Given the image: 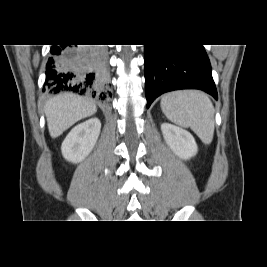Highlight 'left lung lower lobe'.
Segmentation results:
<instances>
[{
  "instance_id": "left-lung-lower-lobe-1",
  "label": "left lung lower lobe",
  "mask_w": 267,
  "mask_h": 267,
  "mask_svg": "<svg viewBox=\"0 0 267 267\" xmlns=\"http://www.w3.org/2000/svg\"><path fill=\"white\" fill-rule=\"evenodd\" d=\"M144 46L147 108L159 95L178 89H200L218 98L203 45Z\"/></svg>"
}]
</instances>
